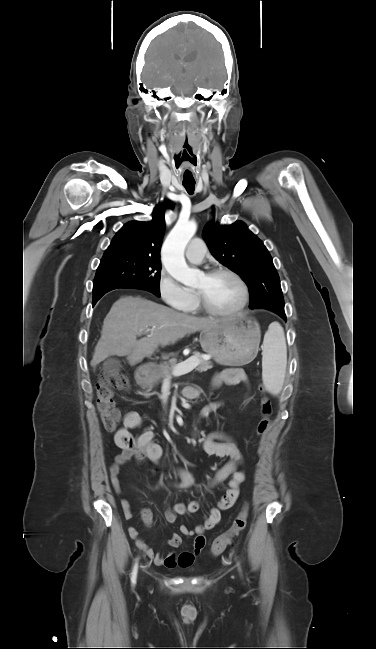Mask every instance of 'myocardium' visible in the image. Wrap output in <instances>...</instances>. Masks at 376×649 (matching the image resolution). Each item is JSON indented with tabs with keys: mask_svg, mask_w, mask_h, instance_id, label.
I'll return each instance as SVG.
<instances>
[{
	"mask_svg": "<svg viewBox=\"0 0 376 649\" xmlns=\"http://www.w3.org/2000/svg\"><path fill=\"white\" fill-rule=\"evenodd\" d=\"M217 274H228L231 277H233L237 283L239 284L242 292V298L240 303L231 310H218L213 308L209 302L207 301L205 295L203 294L202 291L200 290H195L194 294L196 296L197 302L202 310H204L206 313L211 314L213 316H218V317H234L242 313V311L245 309V307L248 304L249 301V288L245 280L234 270L228 268V267H214L212 269H209L208 271L205 272L206 277H212Z\"/></svg>",
	"mask_w": 376,
	"mask_h": 649,
	"instance_id": "f54148a6",
	"label": "myocardium"
}]
</instances>
